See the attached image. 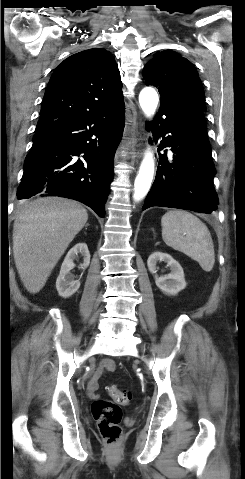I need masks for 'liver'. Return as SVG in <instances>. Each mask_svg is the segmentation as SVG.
I'll list each match as a JSON object with an SVG mask.
<instances>
[{"label":"liver","mask_w":245,"mask_h":479,"mask_svg":"<svg viewBox=\"0 0 245 479\" xmlns=\"http://www.w3.org/2000/svg\"><path fill=\"white\" fill-rule=\"evenodd\" d=\"M88 220L76 201L39 198L21 205L13 225V256L24 287L38 293Z\"/></svg>","instance_id":"6515ba94"}]
</instances>
